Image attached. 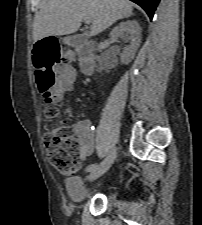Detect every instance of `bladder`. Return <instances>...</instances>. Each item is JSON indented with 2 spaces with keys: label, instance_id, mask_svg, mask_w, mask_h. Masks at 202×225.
I'll list each match as a JSON object with an SVG mask.
<instances>
[{
  "label": "bladder",
  "instance_id": "obj_1",
  "mask_svg": "<svg viewBox=\"0 0 202 225\" xmlns=\"http://www.w3.org/2000/svg\"><path fill=\"white\" fill-rule=\"evenodd\" d=\"M83 181L84 178L82 176H74L66 179L68 194L74 205H80L94 194L93 190L84 189ZM103 191V194L110 199L114 198L115 193L111 185L104 186Z\"/></svg>",
  "mask_w": 202,
  "mask_h": 225
}]
</instances>
